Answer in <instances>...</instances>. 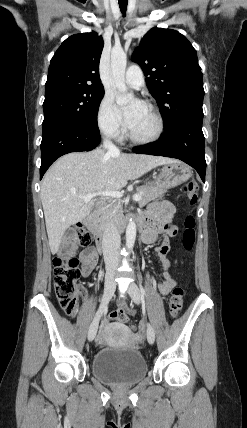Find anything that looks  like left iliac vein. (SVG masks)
<instances>
[{
    "mask_svg": "<svg viewBox=\"0 0 247 428\" xmlns=\"http://www.w3.org/2000/svg\"><path fill=\"white\" fill-rule=\"evenodd\" d=\"M128 293L134 303L136 304L141 303L142 296L138 286L134 282L130 283V285L128 286ZM147 340L150 344H153L155 341V331L151 324H148L147 326Z\"/></svg>",
    "mask_w": 247,
    "mask_h": 428,
    "instance_id": "obj_1",
    "label": "left iliac vein"
}]
</instances>
